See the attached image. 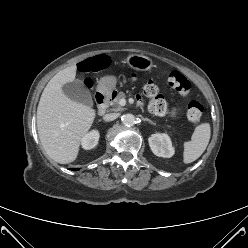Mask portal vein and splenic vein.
I'll return each instance as SVG.
<instances>
[{"label": "portal vein and splenic vein", "mask_w": 248, "mask_h": 248, "mask_svg": "<svg viewBox=\"0 0 248 248\" xmlns=\"http://www.w3.org/2000/svg\"><path fill=\"white\" fill-rule=\"evenodd\" d=\"M119 104L121 106H124L126 104V100L124 98H122L120 101H119Z\"/></svg>", "instance_id": "obj_1"}]
</instances>
